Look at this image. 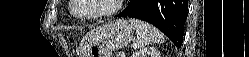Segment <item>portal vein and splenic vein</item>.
<instances>
[{"label":"portal vein and splenic vein","mask_w":249,"mask_h":57,"mask_svg":"<svg viewBox=\"0 0 249 57\" xmlns=\"http://www.w3.org/2000/svg\"><path fill=\"white\" fill-rule=\"evenodd\" d=\"M120 57H125L124 53L119 54Z\"/></svg>","instance_id":"1"}]
</instances>
